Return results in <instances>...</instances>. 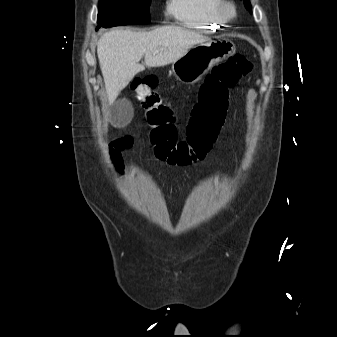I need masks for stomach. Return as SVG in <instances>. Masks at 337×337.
<instances>
[{"label":"stomach","mask_w":337,"mask_h":337,"mask_svg":"<svg viewBox=\"0 0 337 337\" xmlns=\"http://www.w3.org/2000/svg\"><path fill=\"white\" fill-rule=\"evenodd\" d=\"M234 51L233 42L225 38L199 43L173 62L172 71L178 80L193 84L199 81L211 67L226 59Z\"/></svg>","instance_id":"obj_1"}]
</instances>
